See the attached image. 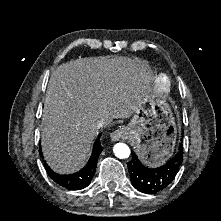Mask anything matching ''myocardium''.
<instances>
[{
	"mask_svg": "<svg viewBox=\"0 0 221 221\" xmlns=\"http://www.w3.org/2000/svg\"><path fill=\"white\" fill-rule=\"evenodd\" d=\"M164 77L167 79L166 84H161V80ZM157 82H158V93L163 96L166 95L170 91V83L168 81V78L164 75L162 77H159L157 79Z\"/></svg>",
	"mask_w": 221,
	"mask_h": 221,
	"instance_id": "f54148a6",
	"label": "myocardium"
}]
</instances>
